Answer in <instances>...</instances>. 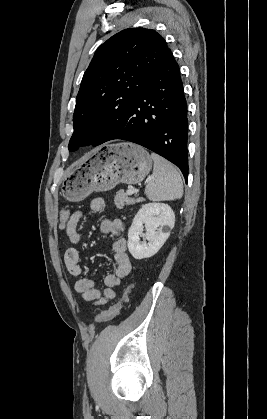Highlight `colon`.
Returning <instances> with one entry per match:
<instances>
[{
    "label": "colon",
    "mask_w": 267,
    "mask_h": 419,
    "mask_svg": "<svg viewBox=\"0 0 267 419\" xmlns=\"http://www.w3.org/2000/svg\"><path fill=\"white\" fill-rule=\"evenodd\" d=\"M71 215L72 213L70 210L61 211L60 217H59V225L62 229L66 228ZM129 292H130V287H128L125 290L122 298L118 302L111 305L107 310L103 311L101 314H99L95 318V323L100 324V323L107 322L115 318L119 314L122 304L127 300Z\"/></svg>",
    "instance_id": "1"
}]
</instances>
